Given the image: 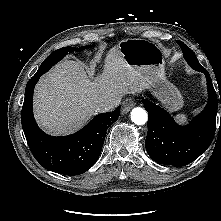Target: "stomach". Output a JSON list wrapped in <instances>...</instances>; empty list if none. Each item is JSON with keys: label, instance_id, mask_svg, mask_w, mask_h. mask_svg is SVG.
Returning a JSON list of instances; mask_svg holds the SVG:
<instances>
[{"label": "stomach", "instance_id": "obj_1", "mask_svg": "<svg viewBox=\"0 0 221 221\" xmlns=\"http://www.w3.org/2000/svg\"><path fill=\"white\" fill-rule=\"evenodd\" d=\"M118 47L126 63L139 72L146 89L169 110L182 108V95L165 77L164 53L157 43L133 38L122 40Z\"/></svg>", "mask_w": 221, "mask_h": 221}]
</instances>
